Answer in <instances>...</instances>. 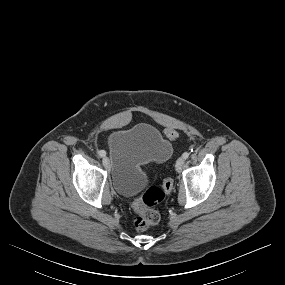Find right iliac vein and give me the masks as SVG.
<instances>
[{
    "mask_svg": "<svg viewBox=\"0 0 285 285\" xmlns=\"http://www.w3.org/2000/svg\"><path fill=\"white\" fill-rule=\"evenodd\" d=\"M102 162H103L104 167L108 168V166H109L108 157L104 156Z\"/></svg>",
    "mask_w": 285,
    "mask_h": 285,
    "instance_id": "63e3f726",
    "label": "right iliac vein"
}]
</instances>
